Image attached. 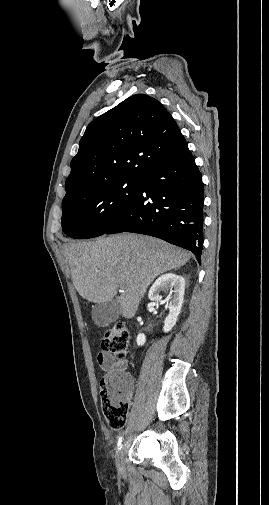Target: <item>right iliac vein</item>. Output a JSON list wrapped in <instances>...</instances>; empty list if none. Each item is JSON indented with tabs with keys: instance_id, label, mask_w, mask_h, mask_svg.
Masks as SVG:
<instances>
[{
	"instance_id": "right-iliac-vein-1",
	"label": "right iliac vein",
	"mask_w": 269,
	"mask_h": 505,
	"mask_svg": "<svg viewBox=\"0 0 269 505\" xmlns=\"http://www.w3.org/2000/svg\"><path fill=\"white\" fill-rule=\"evenodd\" d=\"M124 454H125V447L123 446L118 450L115 459L116 466L120 472L124 471V464H123Z\"/></svg>"
}]
</instances>
